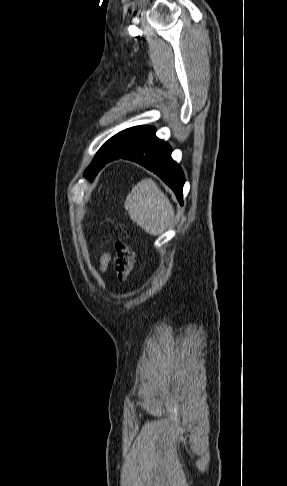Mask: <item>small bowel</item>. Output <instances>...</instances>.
Here are the masks:
<instances>
[{
    "instance_id": "1",
    "label": "small bowel",
    "mask_w": 287,
    "mask_h": 486,
    "mask_svg": "<svg viewBox=\"0 0 287 486\" xmlns=\"http://www.w3.org/2000/svg\"><path fill=\"white\" fill-rule=\"evenodd\" d=\"M110 261V255L108 253H104L100 259V270H105L108 263Z\"/></svg>"
}]
</instances>
